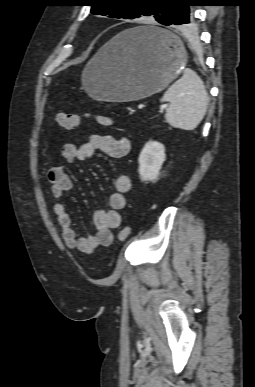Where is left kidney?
I'll use <instances>...</instances> for the list:
<instances>
[{
	"mask_svg": "<svg viewBox=\"0 0 255 387\" xmlns=\"http://www.w3.org/2000/svg\"><path fill=\"white\" fill-rule=\"evenodd\" d=\"M165 147L156 141H149L142 149L139 161V174L142 181H153L158 175L165 161Z\"/></svg>",
	"mask_w": 255,
	"mask_h": 387,
	"instance_id": "obj_1",
	"label": "left kidney"
}]
</instances>
